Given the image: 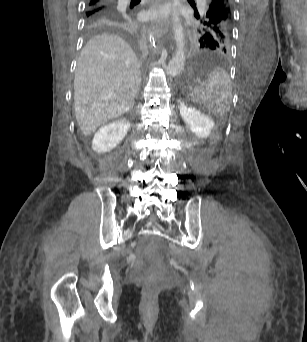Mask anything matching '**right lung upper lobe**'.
Returning <instances> with one entry per match:
<instances>
[{
	"instance_id": "right-lung-upper-lobe-1",
	"label": "right lung upper lobe",
	"mask_w": 307,
	"mask_h": 342,
	"mask_svg": "<svg viewBox=\"0 0 307 342\" xmlns=\"http://www.w3.org/2000/svg\"><path fill=\"white\" fill-rule=\"evenodd\" d=\"M139 2L132 0L129 6L123 0H87L86 8L90 12L84 18L85 30L139 36L143 28Z\"/></svg>"
}]
</instances>
